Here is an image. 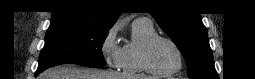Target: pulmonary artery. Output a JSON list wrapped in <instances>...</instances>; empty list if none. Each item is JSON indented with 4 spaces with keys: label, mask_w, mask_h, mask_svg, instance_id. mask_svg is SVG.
I'll list each match as a JSON object with an SVG mask.
<instances>
[{
    "label": "pulmonary artery",
    "mask_w": 255,
    "mask_h": 79,
    "mask_svg": "<svg viewBox=\"0 0 255 79\" xmlns=\"http://www.w3.org/2000/svg\"><path fill=\"white\" fill-rule=\"evenodd\" d=\"M134 23H143L146 25H151V22L146 18H138V19L134 20Z\"/></svg>",
    "instance_id": "1"
}]
</instances>
